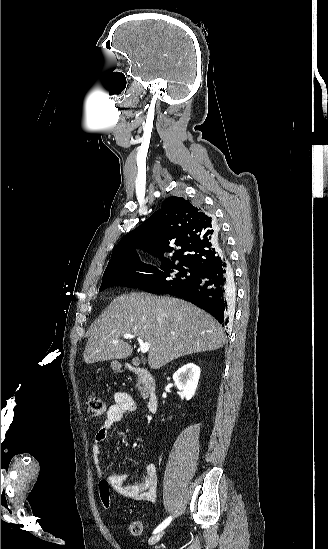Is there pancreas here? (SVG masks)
I'll list each match as a JSON object with an SVG mask.
<instances>
[{
    "label": "pancreas",
    "instance_id": "obj_1",
    "mask_svg": "<svg viewBox=\"0 0 328 549\" xmlns=\"http://www.w3.org/2000/svg\"><path fill=\"white\" fill-rule=\"evenodd\" d=\"M136 387L138 391H141V395H143V397H145V395H148L150 387H146V383L145 381H143V379H141V377H138Z\"/></svg>",
    "mask_w": 328,
    "mask_h": 549
}]
</instances>
